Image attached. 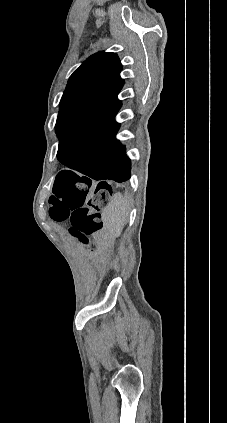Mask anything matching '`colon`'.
<instances>
[{"mask_svg": "<svg viewBox=\"0 0 227 423\" xmlns=\"http://www.w3.org/2000/svg\"><path fill=\"white\" fill-rule=\"evenodd\" d=\"M90 189L89 180L62 172L55 180L51 196V217L56 221L69 220L71 232L84 241L102 227L100 213L111 195V187L100 182L86 202Z\"/></svg>", "mask_w": 227, "mask_h": 423, "instance_id": "obj_1", "label": "colon"}]
</instances>
